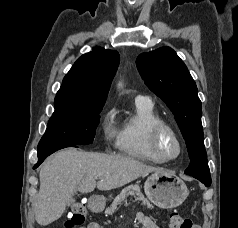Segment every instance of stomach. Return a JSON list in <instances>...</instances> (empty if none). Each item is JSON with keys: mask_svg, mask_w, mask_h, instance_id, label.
<instances>
[{"mask_svg": "<svg viewBox=\"0 0 238 228\" xmlns=\"http://www.w3.org/2000/svg\"><path fill=\"white\" fill-rule=\"evenodd\" d=\"M148 199L163 209H172L181 205L188 197L189 190L185 182L174 173L168 171L154 172L144 184ZM105 202L93 200L90 208L93 211L103 209Z\"/></svg>", "mask_w": 238, "mask_h": 228, "instance_id": "0dacf381", "label": "stomach"}]
</instances>
